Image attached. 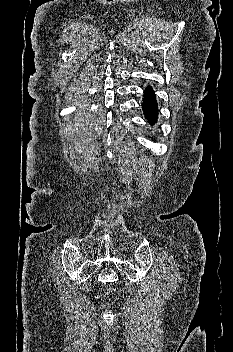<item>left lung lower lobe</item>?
<instances>
[{
    "mask_svg": "<svg viewBox=\"0 0 233 352\" xmlns=\"http://www.w3.org/2000/svg\"><path fill=\"white\" fill-rule=\"evenodd\" d=\"M142 106L145 117L148 119V122L153 125L157 119L158 108L156 98L154 97L153 89L151 87L146 88Z\"/></svg>",
    "mask_w": 233,
    "mask_h": 352,
    "instance_id": "obj_1",
    "label": "left lung lower lobe"
}]
</instances>
